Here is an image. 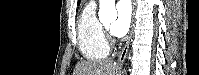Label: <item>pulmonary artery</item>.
Returning a JSON list of instances; mask_svg holds the SVG:
<instances>
[{
    "label": "pulmonary artery",
    "instance_id": "obj_1",
    "mask_svg": "<svg viewBox=\"0 0 199 75\" xmlns=\"http://www.w3.org/2000/svg\"><path fill=\"white\" fill-rule=\"evenodd\" d=\"M89 6H94V2H91V3L89 4Z\"/></svg>",
    "mask_w": 199,
    "mask_h": 75
}]
</instances>
